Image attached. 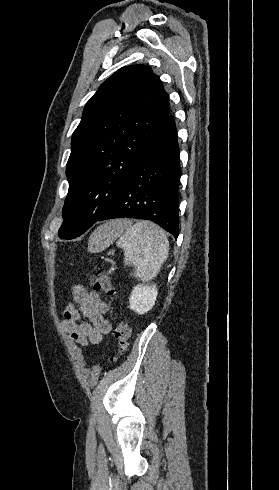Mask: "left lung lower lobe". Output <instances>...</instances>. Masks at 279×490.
Masks as SVG:
<instances>
[{
    "label": "left lung lower lobe",
    "mask_w": 279,
    "mask_h": 490,
    "mask_svg": "<svg viewBox=\"0 0 279 490\" xmlns=\"http://www.w3.org/2000/svg\"><path fill=\"white\" fill-rule=\"evenodd\" d=\"M180 174L177 132L170 116L146 143L98 221L125 217L151 220L177 239Z\"/></svg>",
    "instance_id": "obj_1"
}]
</instances>
